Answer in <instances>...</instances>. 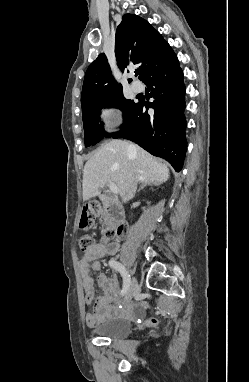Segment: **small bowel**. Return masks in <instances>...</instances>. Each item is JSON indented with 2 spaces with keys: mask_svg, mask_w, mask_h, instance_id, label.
I'll list each match as a JSON object with an SVG mask.
<instances>
[{
  "mask_svg": "<svg viewBox=\"0 0 249 382\" xmlns=\"http://www.w3.org/2000/svg\"><path fill=\"white\" fill-rule=\"evenodd\" d=\"M119 250L120 244L117 242L108 245L95 243L93 247L89 251H85L79 259L78 264L86 304H92L95 296L94 281L91 272L101 268L100 260L104 256L115 255ZM97 282L103 294L97 298L92 310L86 315V324L88 326H95L111 316H130L140 310L139 304L118 300L119 287L115 277H109L101 273L97 277Z\"/></svg>",
  "mask_w": 249,
  "mask_h": 382,
  "instance_id": "c3829d8e",
  "label": "small bowel"
}]
</instances>
